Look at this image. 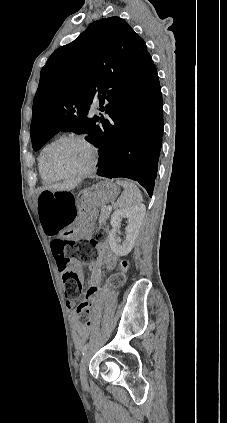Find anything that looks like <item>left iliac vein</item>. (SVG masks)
Returning <instances> with one entry per match:
<instances>
[{
    "instance_id": "obj_1",
    "label": "left iliac vein",
    "mask_w": 227,
    "mask_h": 423,
    "mask_svg": "<svg viewBox=\"0 0 227 423\" xmlns=\"http://www.w3.org/2000/svg\"><path fill=\"white\" fill-rule=\"evenodd\" d=\"M89 352H90V349L88 348L86 350V353L82 357L81 362H80V370H79V373H80V381H81V385H82V387L84 389H86L87 386H88V383H87V375H86V371H87L86 370V364H87V359H88Z\"/></svg>"
}]
</instances>
